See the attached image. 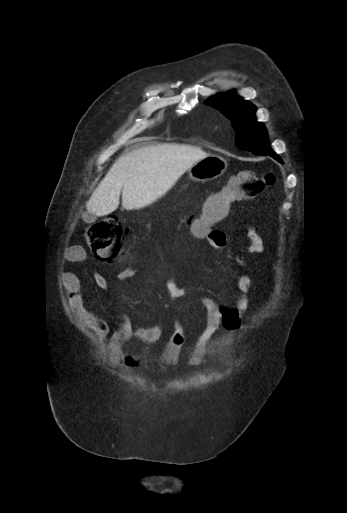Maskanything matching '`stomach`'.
I'll return each mask as SVG.
<instances>
[{"mask_svg":"<svg viewBox=\"0 0 347 513\" xmlns=\"http://www.w3.org/2000/svg\"><path fill=\"white\" fill-rule=\"evenodd\" d=\"M228 164L226 160L217 155L207 157L194 163L189 169V177L196 182H208L221 176Z\"/></svg>","mask_w":347,"mask_h":513,"instance_id":"1","label":"stomach"}]
</instances>
